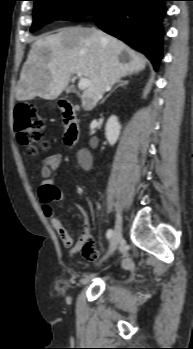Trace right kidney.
<instances>
[{"mask_svg":"<svg viewBox=\"0 0 193 349\" xmlns=\"http://www.w3.org/2000/svg\"><path fill=\"white\" fill-rule=\"evenodd\" d=\"M105 131L107 141L111 146H113L118 140L121 131V125L118 122V118L116 116L112 115L107 120Z\"/></svg>","mask_w":193,"mask_h":349,"instance_id":"1","label":"right kidney"}]
</instances>
